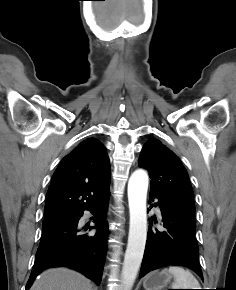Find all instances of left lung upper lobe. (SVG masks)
<instances>
[{"label":"left lung upper lobe","mask_w":236,"mask_h":290,"mask_svg":"<svg viewBox=\"0 0 236 290\" xmlns=\"http://www.w3.org/2000/svg\"><path fill=\"white\" fill-rule=\"evenodd\" d=\"M138 164L149 171L150 192L171 202L194 220L193 190L188 173L176 155L159 140L150 139L142 148Z\"/></svg>","instance_id":"left-lung-upper-lobe-1"}]
</instances>
